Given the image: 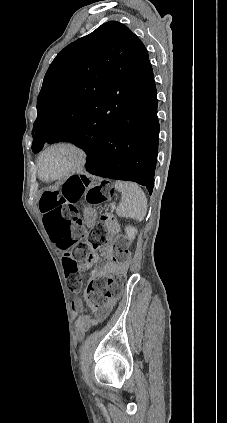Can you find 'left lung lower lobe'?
Listing matches in <instances>:
<instances>
[{"mask_svg": "<svg viewBox=\"0 0 227 423\" xmlns=\"http://www.w3.org/2000/svg\"><path fill=\"white\" fill-rule=\"evenodd\" d=\"M159 122L155 83L144 109L138 113L106 114L97 131L72 143L87 153L89 173L105 178L134 181L152 193L158 154Z\"/></svg>", "mask_w": 227, "mask_h": 423, "instance_id": "obj_1", "label": "left lung lower lobe"}]
</instances>
